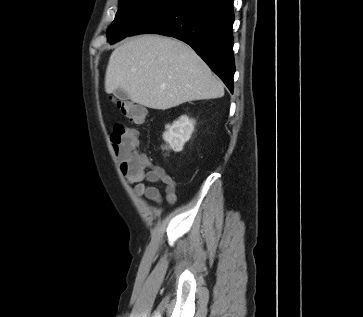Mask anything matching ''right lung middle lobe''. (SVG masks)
Here are the masks:
<instances>
[{"label":"right lung middle lobe","mask_w":363,"mask_h":317,"mask_svg":"<svg viewBox=\"0 0 363 317\" xmlns=\"http://www.w3.org/2000/svg\"><path fill=\"white\" fill-rule=\"evenodd\" d=\"M177 0H119V9L107 31L109 43H115L142 23Z\"/></svg>","instance_id":"dd1d6c3e"}]
</instances>
